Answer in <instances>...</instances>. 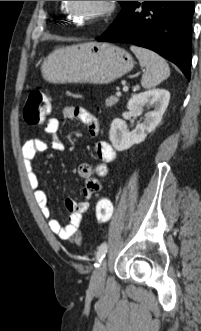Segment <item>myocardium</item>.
<instances>
[{"label":"myocardium","mask_w":201,"mask_h":331,"mask_svg":"<svg viewBox=\"0 0 201 331\" xmlns=\"http://www.w3.org/2000/svg\"><path fill=\"white\" fill-rule=\"evenodd\" d=\"M115 2L116 1H103L102 8L95 14L84 16L78 14L73 7V1H68L69 10L72 12V14L78 18H82L85 21H100L104 18L110 16L114 10H115Z\"/></svg>","instance_id":"f54148a6"}]
</instances>
